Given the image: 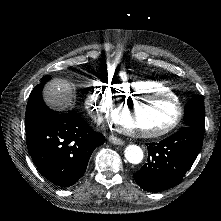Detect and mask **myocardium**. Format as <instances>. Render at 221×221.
Returning a JSON list of instances; mask_svg holds the SVG:
<instances>
[{
  "mask_svg": "<svg viewBox=\"0 0 221 221\" xmlns=\"http://www.w3.org/2000/svg\"><path fill=\"white\" fill-rule=\"evenodd\" d=\"M161 101L164 103H169L171 105V114L168 116L167 120L159 123L157 126H151L147 129L141 130H132L125 125H122L118 121L119 113L121 111V106L124 105H139L142 102H147L150 100ZM178 103L174 99L173 96L165 93L155 92L148 94L144 91L142 93L135 96V98H124V99H117L116 101L112 102L110 107V111L108 114V123L112 124L115 130H119L120 132L124 133L126 136L130 137H140L152 140L164 136L166 134L171 133L170 130L175 126L176 122H178Z\"/></svg>",
  "mask_w": 221,
  "mask_h": 221,
  "instance_id": "obj_1",
  "label": "myocardium"
}]
</instances>
